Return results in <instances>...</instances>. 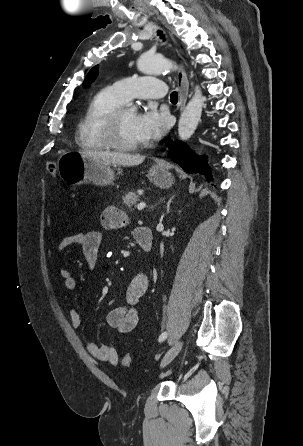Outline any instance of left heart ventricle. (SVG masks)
Wrapping results in <instances>:
<instances>
[{"mask_svg": "<svg viewBox=\"0 0 303 446\" xmlns=\"http://www.w3.org/2000/svg\"><path fill=\"white\" fill-rule=\"evenodd\" d=\"M136 112L126 109L121 117L120 138L126 143H141L135 131Z\"/></svg>", "mask_w": 303, "mask_h": 446, "instance_id": "left-heart-ventricle-1", "label": "left heart ventricle"}]
</instances>
